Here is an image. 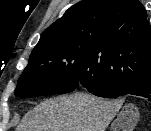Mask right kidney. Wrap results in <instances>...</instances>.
Returning <instances> with one entry per match:
<instances>
[{
  "instance_id": "right-kidney-1",
  "label": "right kidney",
  "mask_w": 151,
  "mask_h": 131,
  "mask_svg": "<svg viewBox=\"0 0 151 131\" xmlns=\"http://www.w3.org/2000/svg\"><path fill=\"white\" fill-rule=\"evenodd\" d=\"M122 126H123V125H122L121 119L116 120V121L113 122V124H112L113 131H117L118 129L123 128ZM132 128H133V126L129 127V129H128V128L125 129V131H126V130L131 131Z\"/></svg>"
}]
</instances>
